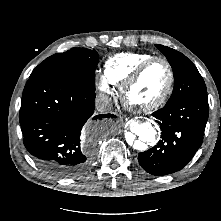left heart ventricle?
<instances>
[{
    "label": "left heart ventricle",
    "instance_id": "b2bd125f",
    "mask_svg": "<svg viewBox=\"0 0 221 221\" xmlns=\"http://www.w3.org/2000/svg\"><path fill=\"white\" fill-rule=\"evenodd\" d=\"M168 84V71L161 62L150 66L129 93V99L138 105L148 104L157 99Z\"/></svg>",
    "mask_w": 221,
    "mask_h": 221
}]
</instances>
